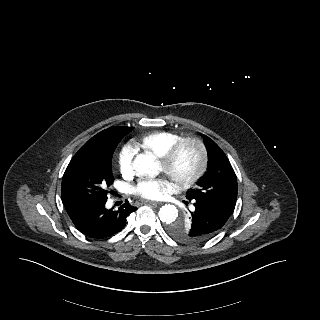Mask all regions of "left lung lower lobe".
Here are the masks:
<instances>
[{"instance_id":"left-lung-lower-lobe-1","label":"left lung lower lobe","mask_w":320,"mask_h":320,"mask_svg":"<svg viewBox=\"0 0 320 320\" xmlns=\"http://www.w3.org/2000/svg\"><path fill=\"white\" fill-rule=\"evenodd\" d=\"M194 211L192 235L200 241H206L216 235L230 216L202 201H193Z\"/></svg>"}]
</instances>
